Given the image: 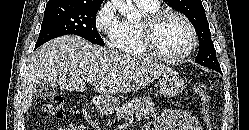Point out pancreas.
<instances>
[{"label": "pancreas", "mask_w": 249, "mask_h": 130, "mask_svg": "<svg viewBox=\"0 0 249 130\" xmlns=\"http://www.w3.org/2000/svg\"><path fill=\"white\" fill-rule=\"evenodd\" d=\"M116 119L121 120L129 116H136L137 118L149 119L150 117H155V106L151 101L150 97H139L123 104L121 107L115 109ZM115 122V119H113ZM108 124L111 121L108 120Z\"/></svg>", "instance_id": "1"}]
</instances>
